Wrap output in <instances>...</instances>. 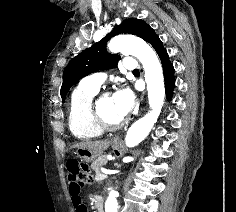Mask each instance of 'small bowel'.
<instances>
[{
  "label": "small bowel",
  "mask_w": 236,
  "mask_h": 212,
  "mask_svg": "<svg viewBox=\"0 0 236 212\" xmlns=\"http://www.w3.org/2000/svg\"><path fill=\"white\" fill-rule=\"evenodd\" d=\"M64 179L67 180V198H70L75 209L73 212H88V209H85V205L82 204L81 195L83 194L82 190L86 189L85 185H81L80 180L77 179L76 175H65Z\"/></svg>",
  "instance_id": "obj_1"
}]
</instances>
